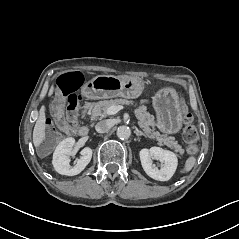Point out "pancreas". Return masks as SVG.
<instances>
[{"instance_id": "1", "label": "pancreas", "mask_w": 239, "mask_h": 239, "mask_svg": "<svg viewBox=\"0 0 239 239\" xmlns=\"http://www.w3.org/2000/svg\"><path fill=\"white\" fill-rule=\"evenodd\" d=\"M134 102L132 100H127L123 98L103 100L93 103V108L91 111V120L102 119L107 117V110L111 106L119 105H130ZM136 117L140 120L139 125L143 128L147 136L152 139H156L159 145H166L171 149H175L176 152L180 154L184 153V149L175 141L172 136H167L166 134L161 135L160 132L155 131V121L154 116L147 112V107L142 105L135 110ZM152 127V128H151Z\"/></svg>"}]
</instances>
